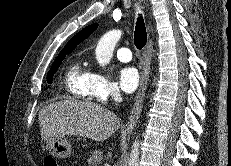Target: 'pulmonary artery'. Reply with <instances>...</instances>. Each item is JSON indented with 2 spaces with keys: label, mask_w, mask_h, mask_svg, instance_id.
<instances>
[{
  "label": "pulmonary artery",
  "mask_w": 231,
  "mask_h": 166,
  "mask_svg": "<svg viewBox=\"0 0 231 166\" xmlns=\"http://www.w3.org/2000/svg\"><path fill=\"white\" fill-rule=\"evenodd\" d=\"M116 56L121 62H128L132 59L131 51L127 47L119 48L116 52Z\"/></svg>",
  "instance_id": "pulmonary-artery-1"
}]
</instances>
